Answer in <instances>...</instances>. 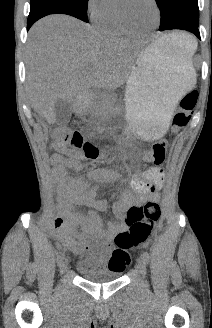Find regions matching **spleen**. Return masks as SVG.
I'll return each instance as SVG.
<instances>
[{"instance_id":"spleen-1","label":"spleen","mask_w":212,"mask_h":328,"mask_svg":"<svg viewBox=\"0 0 212 328\" xmlns=\"http://www.w3.org/2000/svg\"><path fill=\"white\" fill-rule=\"evenodd\" d=\"M162 41L170 42L173 45L182 48L184 52L191 57L195 53L197 49V41L196 39L187 34V33H172L169 36H167L165 39H161Z\"/></svg>"}]
</instances>
